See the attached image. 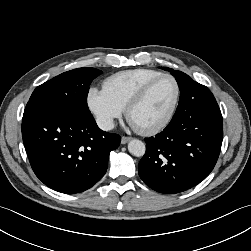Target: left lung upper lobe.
<instances>
[{
  "instance_id": "1",
  "label": "left lung upper lobe",
  "mask_w": 251,
  "mask_h": 251,
  "mask_svg": "<svg viewBox=\"0 0 251 251\" xmlns=\"http://www.w3.org/2000/svg\"><path fill=\"white\" fill-rule=\"evenodd\" d=\"M164 70L170 71L171 74L176 78V81L178 82V86L180 89V94L185 91H192L193 88L201 85L194 80H192L187 74L176 71L171 68L161 67Z\"/></svg>"
}]
</instances>
